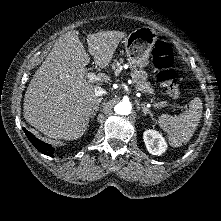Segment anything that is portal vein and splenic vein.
<instances>
[{"mask_svg": "<svg viewBox=\"0 0 221 221\" xmlns=\"http://www.w3.org/2000/svg\"><path fill=\"white\" fill-rule=\"evenodd\" d=\"M87 78L90 82L100 81V78L97 77V75L94 72H89L87 74ZM154 106H156V105H154Z\"/></svg>", "mask_w": 221, "mask_h": 221, "instance_id": "obj_1", "label": "portal vein and splenic vein"}]
</instances>
